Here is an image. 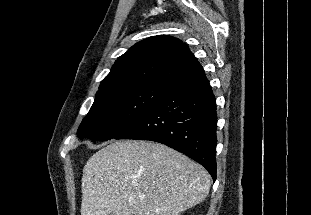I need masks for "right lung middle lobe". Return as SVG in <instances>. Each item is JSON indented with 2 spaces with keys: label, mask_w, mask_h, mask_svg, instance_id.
I'll return each mask as SVG.
<instances>
[{
  "label": "right lung middle lobe",
  "mask_w": 311,
  "mask_h": 215,
  "mask_svg": "<svg viewBox=\"0 0 311 215\" xmlns=\"http://www.w3.org/2000/svg\"><path fill=\"white\" fill-rule=\"evenodd\" d=\"M170 84H125L98 91L77 131L79 139H113L131 128L161 99Z\"/></svg>",
  "instance_id": "right-lung-middle-lobe-1"
}]
</instances>
